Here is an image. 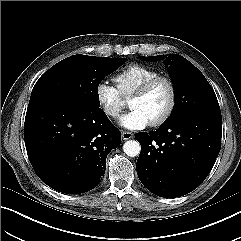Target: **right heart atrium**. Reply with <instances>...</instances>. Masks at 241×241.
Masks as SVG:
<instances>
[{
  "instance_id": "right-heart-atrium-1",
  "label": "right heart atrium",
  "mask_w": 241,
  "mask_h": 241,
  "mask_svg": "<svg viewBox=\"0 0 241 241\" xmlns=\"http://www.w3.org/2000/svg\"><path fill=\"white\" fill-rule=\"evenodd\" d=\"M96 101L109 118H116L123 108V100L117 87L108 81H100L94 90Z\"/></svg>"
}]
</instances>
